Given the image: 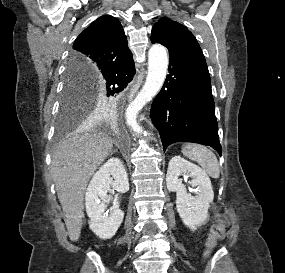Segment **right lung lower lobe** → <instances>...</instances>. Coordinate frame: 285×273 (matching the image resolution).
Instances as JSON below:
<instances>
[{"instance_id":"right-lung-lower-lobe-1","label":"right lung lower lobe","mask_w":285,"mask_h":273,"mask_svg":"<svg viewBox=\"0 0 285 273\" xmlns=\"http://www.w3.org/2000/svg\"><path fill=\"white\" fill-rule=\"evenodd\" d=\"M136 73L133 58L130 60L103 68L100 72L88 78V83L103 91L107 96H113L123 91ZM115 104L105 105L103 108L111 113Z\"/></svg>"}]
</instances>
